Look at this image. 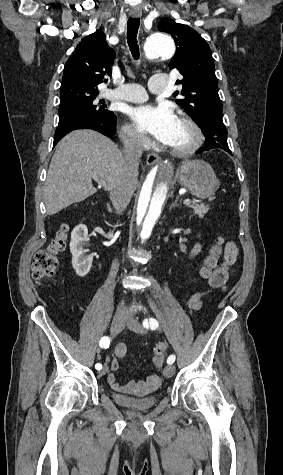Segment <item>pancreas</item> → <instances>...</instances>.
<instances>
[{
  "label": "pancreas",
  "instance_id": "cf45deb5",
  "mask_svg": "<svg viewBox=\"0 0 283 475\" xmlns=\"http://www.w3.org/2000/svg\"><path fill=\"white\" fill-rule=\"evenodd\" d=\"M191 208L194 210V214H197L199 218H204V214H207L209 206L206 204H191Z\"/></svg>",
  "mask_w": 283,
  "mask_h": 475
}]
</instances>
